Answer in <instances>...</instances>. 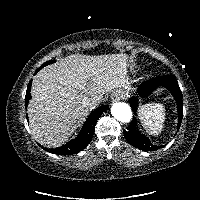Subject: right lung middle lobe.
<instances>
[{"instance_id":"right-lung-middle-lobe-1","label":"right lung middle lobe","mask_w":200,"mask_h":200,"mask_svg":"<svg viewBox=\"0 0 200 200\" xmlns=\"http://www.w3.org/2000/svg\"><path fill=\"white\" fill-rule=\"evenodd\" d=\"M53 62H55V60H50V61L45 62L41 67H39V68L36 70L35 73H37V72H38L40 69H42L44 66H46V65H48V64H51V63H53Z\"/></svg>"}]
</instances>
